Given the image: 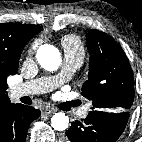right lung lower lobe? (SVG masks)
<instances>
[{
  "instance_id": "98d812e1",
  "label": "right lung lower lobe",
  "mask_w": 142,
  "mask_h": 142,
  "mask_svg": "<svg viewBox=\"0 0 142 142\" xmlns=\"http://www.w3.org/2000/svg\"><path fill=\"white\" fill-rule=\"evenodd\" d=\"M31 106L10 104L0 109V142H25L30 123L40 116Z\"/></svg>"
}]
</instances>
